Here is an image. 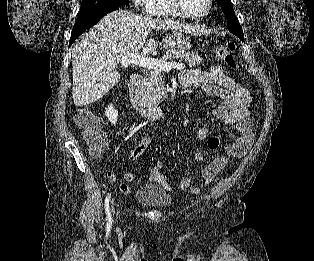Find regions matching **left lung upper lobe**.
I'll return each instance as SVG.
<instances>
[{
	"instance_id": "5c2ea615",
	"label": "left lung upper lobe",
	"mask_w": 314,
	"mask_h": 261,
	"mask_svg": "<svg viewBox=\"0 0 314 261\" xmlns=\"http://www.w3.org/2000/svg\"><path fill=\"white\" fill-rule=\"evenodd\" d=\"M217 2L221 6L224 12V15L227 19V27L229 31L244 41L243 31H242L240 23L238 22L235 16L231 0H217Z\"/></svg>"
}]
</instances>
